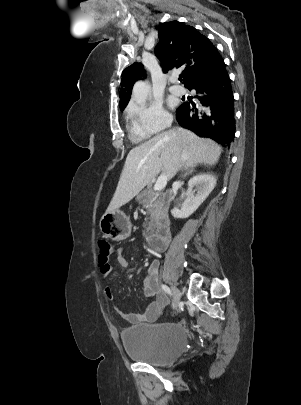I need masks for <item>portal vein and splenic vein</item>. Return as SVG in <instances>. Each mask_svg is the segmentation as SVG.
<instances>
[{"label": "portal vein and splenic vein", "mask_w": 301, "mask_h": 405, "mask_svg": "<svg viewBox=\"0 0 301 405\" xmlns=\"http://www.w3.org/2000/svg\"><path fill=\"white\" fill-rule=\"evenodd\" d=\"M168 181V176L166 174H162L156 181L155 185H154V190L155 191H159L162 190Z\"/></svg>", "instance_id": "obj_1"}]
</instances>
